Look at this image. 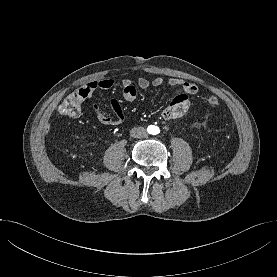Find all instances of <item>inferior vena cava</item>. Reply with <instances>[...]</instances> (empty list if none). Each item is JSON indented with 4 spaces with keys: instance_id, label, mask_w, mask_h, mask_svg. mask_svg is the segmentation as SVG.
<instances>
[{
    "instance_id": "inferior-vena-cava-1",
    "label": "inferior vena cava",
    "mask_w": 277,
    "mask_h": 277,
    "mask_svg": "<svg viewBox=\"0 0 277 277\" xmlns=\"http://www.w3.org/2000/svg\"><path fill=\"white\" fill-rule=\"evenodd\" d=\"M130 134L133 138H144L147 136L146 130L143 127L131 129Z\"/></svg>"
}]
</instances>
